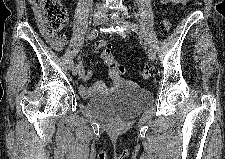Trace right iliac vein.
I'll list each match as a JSON object with an SVG mask.
<instances>
[{
	"label": "right iliac vein",
	"mask_w": 225,
	"mask_h": 159,
	"mask_svg": "<svg viewBox=\"0 0 225 159\" xmlns=\"http://www.w3.org/2000/svg\"><path fill=\"white\" fill-rule=\"evenodd\" d=\"M103 14L99 9H96L92 16V22L94 25H99L102 23ZM72 74L76 76L80 72V66L79 65H73Z\"/></svg>",
	"instance_id": "1"
}]
</instances>
